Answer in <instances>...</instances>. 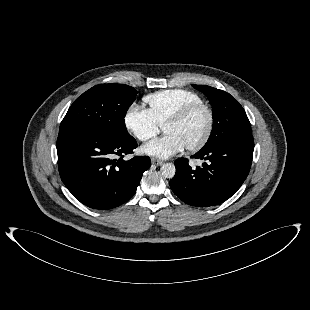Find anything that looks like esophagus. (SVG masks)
<instances>
[{
  "label": "esophagus",
  "instance_id": "34e87169",
  "mask_svg": "<svg viewBox=\"0 0 310 310\" xmlns=\"http://www.w3.org/2000/svg\"><path fill=\"white\" fill-rule=\"evenodd\" d=\"M151 162H152V164H154V165H156V166H160V165L163 164V161L158 160V159H155V158H152V159H151Z\"/></svg>",
  "mask_w": 310,
  "mask_h": 310
}]
</instances>
